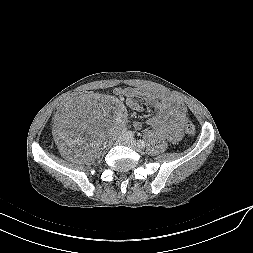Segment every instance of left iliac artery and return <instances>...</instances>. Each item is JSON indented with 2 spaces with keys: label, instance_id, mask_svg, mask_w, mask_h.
Listing matches in <instances>:
<instances>
[{
  "label": "left iliac artery",
  "instance_id": "obj_1",
  "mask_svg": "<svg viewBox=\"0 0 253 253\" xmlns=\"http://www.w3.org/2000/svg\"><path fill=\"white\" fill-rule=\"evenodd\" d=\"M138 145L140 146V148H145V142L143 140H139L138 141Z\"/></svg>",
  "mask_w": 253,
  "mask_h": 253
}]
</instances>
